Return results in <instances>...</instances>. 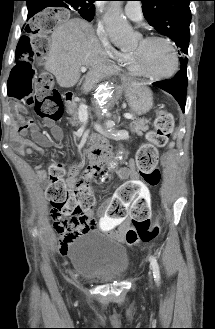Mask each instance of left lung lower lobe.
Returning a JSON list of instances; mask_svg holds the SVG:
<instances>
[{"label": "left lung lower lobe", "mask_w": 215, "mask_h": 329, "mask_svg": "<svg viewBox=\"0 0 215 329\" xmlns=\"http://www.w3.org/2000/svg\"><path fill=\"white\" fill-rule=\"evenodd\" d=\"M153 85L167 91L178 101L182 111L185 110L187 89V63L182 62L179 72L170 80L158 81Z\"/></svg>", "instance_id": "0a47b994"}]
</instances>
